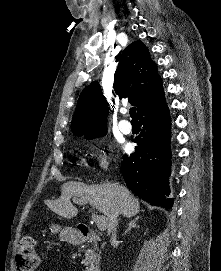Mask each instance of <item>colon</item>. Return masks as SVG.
<instances>
[{
  "label": "colon",
  "mask_w": 221,
  "mask_h": 271,
  "mask_svg": "<svg viewBox=\"0 0 221 271\" xmlns=\"http://www.w3.org/2000/svg\"><path fill=\"white\" fill-rule=\"evenodd\" d=\"M16 267L18 271H39L41 267L34 238L24 236L17 244Z\"/></svg>",
  "instance_id": "obj_1"
}]
</instances>
